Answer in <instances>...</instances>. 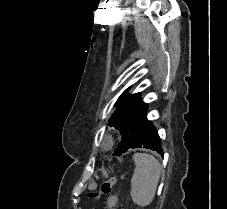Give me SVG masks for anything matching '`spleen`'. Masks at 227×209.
<instances>
[{"instance_id": "obj_1", "label": "spleen", "mask_w": 227, "mask_h": 209, "mask_svg": "<svg viewBox=\"0 0 227 209\" xmlns=\"http://www.w3.org/2000/svg\"><path fill=\"white\" fill-rule=\"evenodd\" d=\"M133 161L136 167L131 179V199L135 205L146 207L155 197L161 165L147 153H135Z\"/></svg>"}]
</instances>
